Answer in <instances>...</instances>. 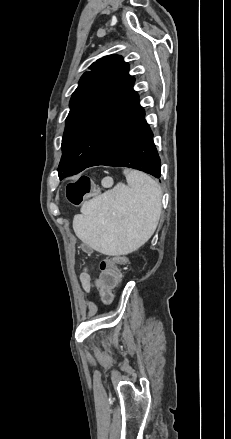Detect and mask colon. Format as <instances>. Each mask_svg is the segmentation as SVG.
I'll list each match as a JSON object with an SVG mask.
<instances>
[{"mask_svg":"<svg viewBox=\"0 0 231 439\" xmlns=\"http://www.w3.org/2000/svg\"><path fill=\"white\" fill-rule=\"evenodd\" d=\"M92 193V181L87 176H81L67 186V199L74 205L79 206ZM127 258L123 255L113 256L101 260L99 263L100 274L98 279L104 282L100 285L98 300L110 303L114 300L113 291L120 284V266L126 264Z\"/></svg>","mask_w":231,"mask_h":439,"instance_id":"obj_1","label":"colon"}]
</instances>
